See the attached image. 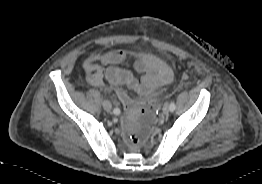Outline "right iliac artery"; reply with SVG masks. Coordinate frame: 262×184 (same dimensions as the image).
<instances>
[{"mask_svg": "<svg viewBox=\"0 0 262 184\" xmlns=\"http://www.w3.org/2000/svg\"><path fill=\"white\" fill-rule=\"evenodd\" d=\"M113 113L116 114V115L119 114V113H120V109H119V108H115V109L113 110Z\"/></svg>", "mask_w": 262, "mask_h": 184, "instance_id": "obj_1", "label": "right iliac artery"}]
</instances>
